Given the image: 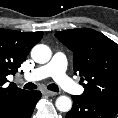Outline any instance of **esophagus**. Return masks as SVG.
<instances>
[{"label":"esophagus","instance_id":"obj_1","mask_svg":"<svg viewBox=\"0 0 118 118\" xmlns=\"http://www.w3.org/2000/svg\"><path fill=\"white\" fill-rule=\"evenodd\" d=\"M44 94H46L47 96H51V97L57 95L56 92H52V91H48V90H45Z\"/></svg>","mask_w":118,"mask_h":118}]
</instances>
